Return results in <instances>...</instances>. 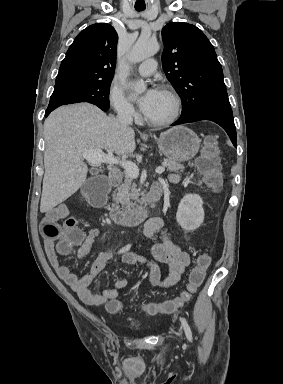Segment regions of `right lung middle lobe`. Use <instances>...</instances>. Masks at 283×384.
Returning a JSON list of instances; mask_svg holds the SVG:
<instances>
[{"label": "right lung middle lobe", "instance_id": "1", "mask_svg": "<svg viewBox=\"0 0 283 384\" xmlns=\"http://www.w3.org/2000/svg\"><path fill=\"white\" fill-rule=\"evenodd\" d=\"M112 79L69 83L54 88L48 108L65 104L89 102L109 107V90Z\"/></svg>", "mask_w": 283, "mask_h": 384}]
</instances>
